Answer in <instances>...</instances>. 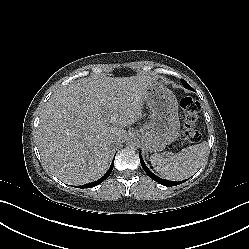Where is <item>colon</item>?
Listing matches in <instances>:
<instances>
[{"instance_id":"obj_1","label":"colon","mask_w":249,"mask_h":249,"mask_svg":"<svg viewBox=\"0 0 249 249\" xmlns=\"http://www.w3.org/2000/svg\"><path fill=\"white\" fill-rule=\"evenodd\" d=\"M180 108L182 110L183 131L182 138L186 142H196L200 138L196 125L199 121V104L191 96H184L180 100Z\"/></svg>"}]
</instances>
